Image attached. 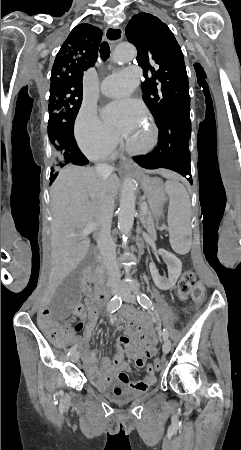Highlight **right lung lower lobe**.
Listing matches in <instances>:
<instances>
[{"mask_svg":"<svg viewBox=\"0 0 241 450\" xmlns=\"http://www.w3.org/2000/svg\"><path fill=\"white\" fill-rule=\"evenodd\" d=\"M63 138L65 139V142L67 144V147L69 149V161L72 164L75 165H85L88 163L87 158L82 154L80 149L78 148L76 141L74 139L73 134H63ZM57 177V173H51L50 180L51 183L55 180ZM50 183V184H51Z\"/></svg>","mask_w":241,"mask_h":450,"instance_id":"1","label":"right lung lower lobe"}]
</instances>
